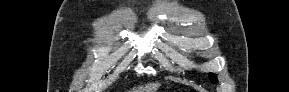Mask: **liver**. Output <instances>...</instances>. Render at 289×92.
Wrapping results in <instances>:
<instances>
[{"label":"liver","mask_w":289,"mask_h":92,"mask_svg":"<svg viewBox=\"0 0 289 92\" xmlns=\"http://www.w3.org/2000/svg\"><path fill=\"white\" fill-rule=\"evenodd\" d=\"M160 86V83L156 82V83H151L146 85L145 87H140L136 90H140V91H136V92H155L158 87Z\"/></svg>","instance_id":"6515ba94"}]
</instances>
